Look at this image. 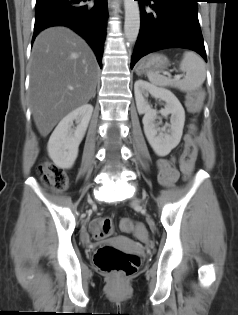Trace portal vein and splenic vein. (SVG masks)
<instances>
[{"mask_svg":"<svg viewBox=\"0 0 238 315\" xmlns=\"http://www.w3.org/2000/svg\"><path fill=\"white\" fill-rule=\"evenodd\" d=\"M166 75H168L169 76V74L168 73H166ZM182 77V75H175V80H179L180 78ZM71 90H73V88H70Z\"/></svg>","mask_w":238,"mask_h":315,"instance_id":"portal-vein-and-splenic-vein-1","label":"portal vein and splenic vein"}]
</instances>
